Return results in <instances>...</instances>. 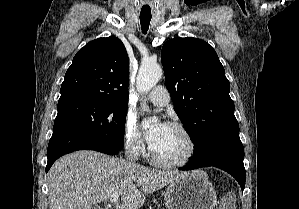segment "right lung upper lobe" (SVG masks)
Masks as SVG:
<instances>
[{
  "instance_id": "1",
  "label": "right lung upper lobe",
  "mask_w": 299,
  "mask_h": 209,
  "mask_svg": "<svg viewBox=\"0 0 299 209\" xmlns=\"http://www.w3.org/2000/svg\"><path fill=\"white\" fill-rule=\"evenodd\" d=\"M129 59L114 36L86 44L74 56L61 85L58 104L102 102L128 104Z\"/></svg>"
}]
</instances>
